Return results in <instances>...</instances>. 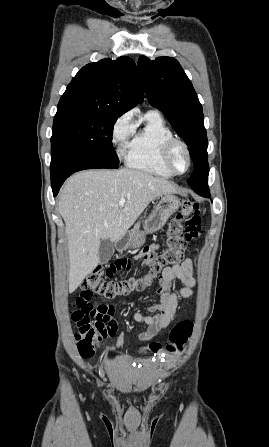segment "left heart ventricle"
I'll return each mask as SVG.
<instances>
[{"label": "left heart ventricle", "instance_id": "obj_1", "mask_svg": "<svg viewBox=\"0 0 269 447\" xmlns=\"http://www.w3.org/2000/svg\"><path fill=\"white\" fill-rule=\"evenodd\" d=\"M173 162H174L175 168L178 171L183 172L186 170L188 161H187L186 153L184 152V150L182 148H177L175 150V153L173 156Z\"/></svg>", "mask_w": 269, "mask_h": 447}]
</instances>
